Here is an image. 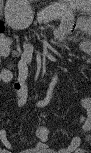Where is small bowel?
I'll return each instance as SVG.
<instances>
[{"label":"small bowel","mask_w":91,"mask_h":153,"mask_svg":"<svg viewBox=\"0 0 91 153\" xmlns=\"http://www.w3.org/2000/svg\"><path fill=\"white\" fill-rule=\"evenodd\" d=\"M8 52L7 46H4L2 49L3 55H6ZM19 75L18 78L14 81L13 86L16 90L15 101L17 104H22L25 102L27 97V86H26V71H27V60L26 58H22L18 63ZM3 79L10 80L11 74L4 72L2 74ZM82 107L87 110L90 107V100L87 97L81 99ZM90 130V121L88 118H84L81 125V136L77 137L73 140L71 145L66 149L68 152L75 151L81 142V137L86 134ZM37 137L39 139V143L35 147V151L37 152H48L50 151L49 146L47 145V140L49 138V133L46 129L41 128L37 130Z\"/></svg>","instance_id":"c3829d8e"}]
</instances>
